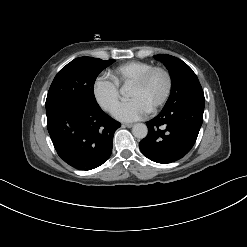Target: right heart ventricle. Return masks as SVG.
Instances as JSON below:
<instances>
[{
	"mask_svg": "<svg viewBox=\"0 0 247 247\" xmlns=\"http://www.w3.org/2000/svg\"><path fill=\"white\" fill-rule=\"evenodd\" d=\"M153 67L149 62L128 61L116 66L110 72V77L118 84H128L135 81L148 69Z\"/></svg>",
	"mask_w": 247,
	"mask_h": 247,
	"instance_id": "e07e8e85",
	"label": "right heart ventricle"
}]
</instances>
